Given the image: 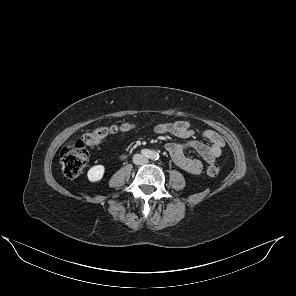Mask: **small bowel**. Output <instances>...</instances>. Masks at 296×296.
<instances>
[{
	"instance_id": "c3829d8e",
	"label": "small bowel",
	"mask_w": 296,
	"mask_h": 296,
	"mask_svg": "<svg viewBox=\"0 0 296 296\" xmlns=\"http://www.w3.org/2000/svg\"><path fill=\"white\" fill-rule=\"evenodd\" d=\"M154 131L157 134H170L181 139H190L194 135L190 123L185 120L157 124L154 127ZM202 136L209 141V144L194 140L184 143L169 142L166 144V150L172 161L179 168L190 174L201 173L203 163L199 159L185 156L184 151L186 149L196 151L204 162L211 164L221 155L224 146L223 138L213 130L204 131Z\"/></svg>"
}]
</instances>
